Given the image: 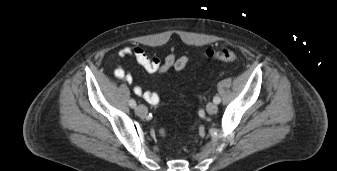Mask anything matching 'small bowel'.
I'll return each instance as SVG.
<instances>
[{"instance_id":"obj_1","label":"small bowel","mask_w":337,"mask_h":171,"mask_svg":"<svg viewBox=\"0 0 337 171\" xmlns=\"http://www.w3.org/2000/svg\"><path fill=\"white\" fill-rule=\"evenodd\" d=\"M118 56L119 62L125 58H134L137 63L150 74H164L170 69H173L175 72H180L193 59L192 56L177 57L175 53H169L164 60L161 61L159 57L147 54L146 51L139 46L124 47L119 51ZM119 62L114 70L115 77L126 83H132V74ZM134 93L137 96L143 97L151 104H156L159 101V95L156 92L143 90L140 86L134 88Z\"/></svg>"}]
</instances>
